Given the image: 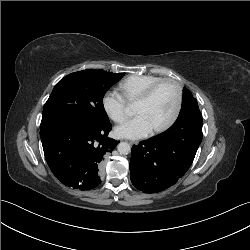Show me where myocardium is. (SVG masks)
I'll return each mask as SVG.
<instances>
[{"label":"myocardium","mask_w":250,"mask_h":250,"mask_svg":"<svg viewBox=\"0 0 250 250\" xmlns=\"http://www.w3.org/2000/svg\"><path fill=\"white\" fill-rule=\"evenodd\" d=\"M166 83H170L172 84L175 89H176V105H175V109L174 112L171 116V118L164 123L163 125L155 128L153 130V134H160L162 132H165L166 130H168L170 127H172L174 125V123L177 121L180 112H181V108H182V102H183V89L182 86L180 85V83L174 79L171 78H162L161 80L153 83L151 86H149L141 95L140 97L136 100V103H145L147 101H149L152 96L154 95V93L157 91V89Z\"/></svg>","instance_id":"obj_1"}]
</instances>
